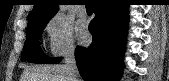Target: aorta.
Segmentation results:
<instances>
[{
	"instance_id": "aorta-1",
	"label": "aorta",
	"mask_w": 169,
	"mask_h": 81,
	"mask_svg": "<svg viewBox=\"0 0 169 81\" xmlns=\"http://www.w3.org/2000/svg\"><path fill=\"white\" fill-rule=\"evenodd\" d=\"M60 13H65V9L64 8H60Z\"/></svg>"
}]
</instances>
